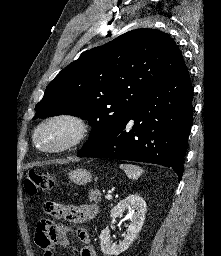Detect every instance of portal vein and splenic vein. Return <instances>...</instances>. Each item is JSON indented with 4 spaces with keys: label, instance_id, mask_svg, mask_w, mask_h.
<instances>
[{
    "label": "portal vein and splenic vein",
    "instance_id": "obj_1",
    "mask_svg": "<svg viewBox=\"0 0 221 256\" xmlns=\"http://www.w3.org/2000/svg\"><path fill=\"white\" fill-rule=\"evenodd\" d=\"M106 199H107V200H111V199H112V195H111V194H107V195H106Z\"/></svg>",
    "mask_w": 221,
    "mask_h": 256
}]
</instances>
